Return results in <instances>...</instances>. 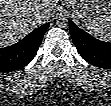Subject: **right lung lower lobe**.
Here are the masks:
<instances>
[{"label": "right lung lower lobe", "instance_id": "obj_1", "mask_svg": "<svg viewBox=\"0 0 111 106\" xmlns=\"http://www.w3.org/2000/svg\"><path fill=\"white\" fill-rule=\"evenodd\" d=\"M48 27L49 23H46L16 44L0 48V72L14 71L27 65L35 56Z\"/></svg>", "mask_w": 111, "mask_h": 106}]
</instances>
